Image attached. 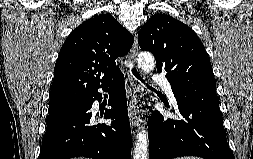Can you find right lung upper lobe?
<instances>
[{
  "instance_id": "cb5924a9",
  "label": "right lung upper lobe",
  "mask_w": 253,
  "mask_h": 159,
  "mask_svg": "<svg viewBox=\"0 0 253 159\" xmlns=\"http://www.w3.org/2000/svg\"><path fill=\"white\" fill-rule=\"evenodd\" d=\"M133 42V36L112 15H95L83 22L60 50L50 101L89 96L110 84L121 73L115 59L125 56Z\"/></svg>"
}]
</instances>
